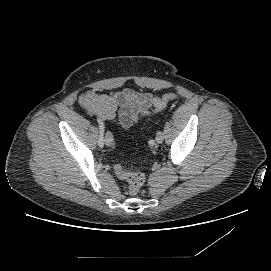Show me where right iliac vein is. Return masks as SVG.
Here are the masks:
<instances>
[{
  "instance_id": "right-iliac-vein-1",
  "label": "right iliac vein",
  "mask_w": 271,
  "mask_h": 271,
  "mask_svg": "<svg viewBox=\"0 0 271 271\" xmlns=\"http://www.w3.org/2000/svg\"><path fill=\"white\" fill-rule=\"evenodd\" d=\"M105 144L107 145V146H110L111 144H112V142H113V137H112V135H111V133L110 132H106V135H105Z\"/></svg>"
}]
</instances>
